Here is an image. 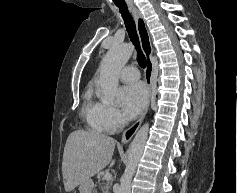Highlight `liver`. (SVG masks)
Listing matches in <instances>:
<instances>
[{
    "mask_svg": "<svg viewBox=\"0 0 237 193\" xmlns=\"http://www.w3.org/2000/svg\"><path fill=\"white\" fill-rule=\"evenodd\" d=\"M115 140L94 131L75 130L67 138L62 162L66 192L115 164L112 160Z\"/></svg>",
    "mask_w": 237,
    "mask_h": 193,
    "instance_id": "obj_1",
    "label": "liver"
}]
</instances>
